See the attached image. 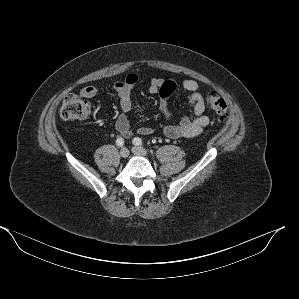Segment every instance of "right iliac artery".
Masks as SVG:
<instances>
[{
    "instance_id": "1",
    "label": "right iliac artery",
    "mask_w": 299,
    "mask_h": 299,
    "mask_svg": "<svg viewBox=\"0 0 299 299\" xmlns=\"http://www.w3.org/2000/svg\"><path fill=\"white\" fill-rule=\"evenodd\" d=\"M116 145L123 146L124 145V140L122 138H117Z\"/></svg>"
}]
</instances>
